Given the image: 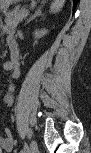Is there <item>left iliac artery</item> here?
<instances>
[{
    "label": "left iliac artery",
    "instance_id": "1",
    "mask_svg": "<svg viewBox=\"0 0 91 153\" xmlns=\"http://www.w3.org/2000/svg\"><path fill=\"white\" fill-rule=\"evenodd\" d=\"M24 148L21 151V153H27V150L29 149V143H27V140H23Z\"/></svg>",
    "mask_w": 91,
    "mask_h": 153
}]
</instances>
